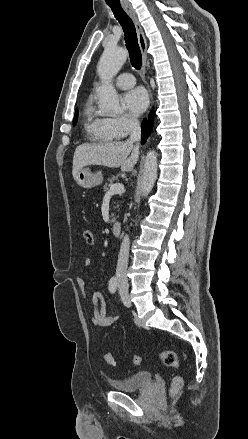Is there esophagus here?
<instances>
[{
	"instance_id": "1",
	"label": "esophagus",
	"mask_w": 248,
	"mask_h": 439,
	"mask_svg": "<svg viewBox=\"0 0 248 439\" xmlns=\"http://www.w3.org/2000/svg\"><path fill=\"white\" fill-rule=\"evenodd\" d=\"M123 8L127 12V14L130 16V18L132 19V21L134 22V25L136 27L138 44H139V47H140V50L142 53V71H143V74L145 75L147 72V69L149 67V63H148V59H147L146 39H145L143 30H142V27L138 21V18L136 16L134 10L132 9V7L130 5L124 4Z\"/></svg>"
}]
</instances>
